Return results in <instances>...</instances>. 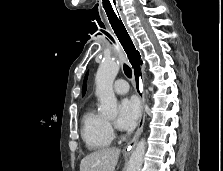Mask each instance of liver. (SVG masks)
<instances>
[{"mask_svg":"<svg viewBox=\"0 0 223 171\" xmlns=\"http://www.w3.org/2000/svg\"><path fill=\"white\" fill-rule=\"evenodd\" d=\"M119 154L120 150L118 148L97 150L82 159L80 171H114Z\"/></svg>","mask_w":223,"mask_h":171,"instance_id":"obj_1","label":"liver"}]
</instances>
